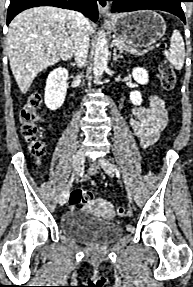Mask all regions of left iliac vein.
<instances>
[{
    "label": "left iliac vein",
    "instance_id": "left-iliac-vein-1",
    "mask_svg": "<svg viewBox=\"0 0 193 287\" xmlns=\"http://www.w3.org/2000/svg\"><path fill=\"white\" fill-rule=\"evenodd\" d=\"M98 163L103 168V170L108 176L113 177L117 174V170L114 164L110 162L109 160H107L106 158H99ZM126 191H127L128 198L132 201L131 193L127 187H126Z\"/></svg>",
    "mask_w": 193,
    "mask_h": 287
}]
</instances>
